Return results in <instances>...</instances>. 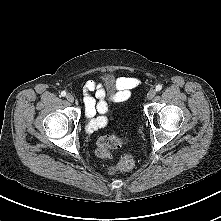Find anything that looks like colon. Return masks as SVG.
Masks as SVG:
<instances>
[{"mask_svg": "<svg viewBox=\"0 0 221 221\" xmlns=\"http://www.w3.org/2000/svg\"><path fill=\"white\" fill-rule=\"evenodd\" d=\"M127 135H106L99 139L96 148V154L100 158H108L112 149L120 147L128 142ZM135 166V158L132 154L126 153L121 156L116 165L110 167L109 173L114 175L117 173L128 172Z\"/></svg>", "mask_w": 221, "mask_h": 221, "instance_id": "5ec220e1", "label": "colon"}]
</instances>
